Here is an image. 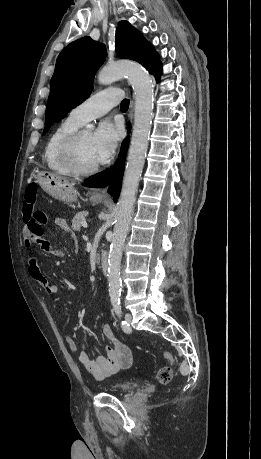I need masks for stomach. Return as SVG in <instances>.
Here are the masks:
<instances>
[{
  "label": "stomach",
  "instance_id": "obj_1",
  "mask_svg": "<svg viewBox=\"0 0 261 459\" xmlns=\"http://www.w3.org/2000/svg\"><path fill=\"white\" fill-rule=\"evenodd\" d=\"M36 181L41 188L53 198L63 202H74L77 200V190L74 184L57 174L41 171L36 175ZM92 202H101L103 198L91 196Z\"/></svg>",
  "mask_w": 261,
  "mask_h": 459
}]
</instances>
